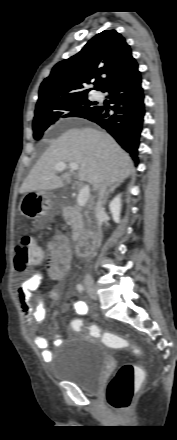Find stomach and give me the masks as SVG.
Listing matches in <instances>:
<instances>
[{
  "instance_id": "obj_1",
  "label": "stomach",
  "mask_w": 177,
  "mask_h": 440,
  "mask_svg": "<svg viewBox=\"0 0 177 440\" xmlns=\"http://www.w3.org/2000/svg\"><path fill=\"white\" fill-rule=\"evenodd\" d=\"M19 210L26 218L46 224L58 213L59 207L47 191H31L22 197Z\"/></svg>"
}]
</instances>
